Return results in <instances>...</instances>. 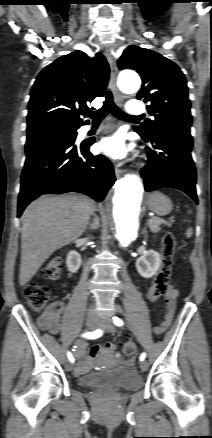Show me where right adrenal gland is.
Wrapping results in <instances>:
<instances>
[{
	"instance_id": "1",
	"label": "right adrenal gland",
	"mask_w": 212,
	"mask_h": 438,
	"mask_svg": "<svg viewBox=\"0 0 212 438\" xmlns=\"http://www.w3.org/2000/svg\"><path fill=\"white\" fill-rule=\"evenodd\" d=\"M94 216L93 221L87 226V229H89L90 231L92 230H96L99 226V222H98V217L96 216V214H92Z\"/></svg>"
}]
</instances>
